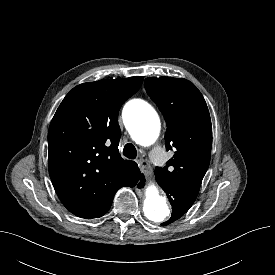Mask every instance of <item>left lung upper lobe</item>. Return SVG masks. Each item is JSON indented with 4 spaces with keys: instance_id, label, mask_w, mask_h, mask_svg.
<instances>
[{
    "instance_id": "5c2ea615",
    "label": "left lung upper lobe",
    "mask_w": 275,
    "mask_h": 275,
    "mask_svg": "<svg viewBox=\"0 0 275 275\" xmlns=\"http://www.w3.org/2000/svg\"><path fill=\"white\" fill-rule=\"evenodd\" d=\"M144 85L166 120V149L175 151L155 173L172 184L199 190L212 147L211 118L204 97L183 78H146Z\"/></svg>"
}]
</instances>
